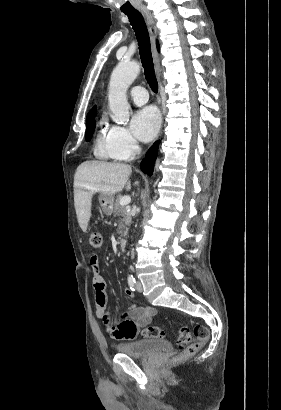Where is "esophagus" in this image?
Segmentation results:
<instances>
[{
	"label": "esophagus",
	"mask_w": 281,
	"mask_h": 410,
	"mask_svg": "<svg viewBox=\"0 0 281 410\" xmlns=\"http://www.w3.org/2000/svg\"><path fill=\"white\" fill-rule=\"evenodd\" d=\"M140 12L142 13L147 28H148V32L150 35V40H151V48H152V56H153V61H154V67H155V73L157 76L158 81H161V65H160V57L156 48V36H157V28L155 25V21L154 18L151 14V12L144 8V9H140Z\"/></svg>",
	"instance_id": "1"
}]
</instances>
